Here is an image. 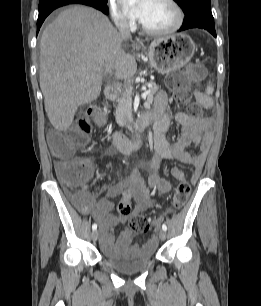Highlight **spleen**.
I'll return each mask as SVG.
<instances>
[{
	"label": "spleen",
	"mask_w": 261,
	"mask_h": 306,
	"mask_svg": "<svg viewBox=\"0 0 261 306\" xmlns=\"http://www.w3.org/2000/svg\"><path fill=\"white\" fill-rule=\"evenodd\" d=\"M206 93L209 95L213 93V88L210 85L207 86Z\"/></svg>",
	"instance_id": "1"
}]
</instances>
